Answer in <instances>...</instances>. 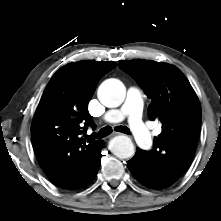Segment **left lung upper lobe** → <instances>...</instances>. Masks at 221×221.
Segmentation results:
<instances>
[{"mask_svg": "<svg viewBox=\"0 0 221 221\" xmlns=\"http://www.w3.org/2000/svg\"><path fill=\"white\" fill-rule=\"evenodd\" d=\"M119 67L152 100L149 118L162 123L154 149L146 154L158 181L168 187L187 171L194 157L202 119L198 97L184 74L170 64L134 59L121 61Z\"/></svg>", "mask_w": 221, "mask_h": 221, "instance_id": "5c2ea615", "label": "left lung upper lobe"}]
</instances>
